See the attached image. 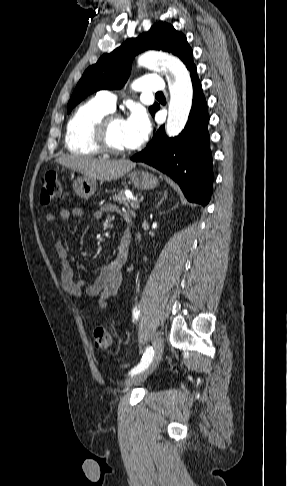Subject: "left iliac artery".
I'll use <instances>...</instances> for the list:
<instances>
[{"label":"left iliac artery","instance_id":"obj_1","mask_svg":"<svg viewBox=\"0 0 287 486\" xmlns=\"http://www.w3.org/2000/svg\"><path fill=\"white\" fill-rule=\"evenodd\" d=\"M139 315H140V310L136 307L133 311V319L137 320ZM153 355H154L153 348L151 346L147 347L145 353L143 354V357H142L140 363L137 366H135L130 371L129 374L134 375V374H137V373L143 371L145 368H147L152 361Z\"/></svg>","mask_w":287,"mask_h":486}]
</instances>
